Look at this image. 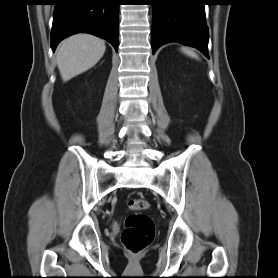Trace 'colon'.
Returning <instances> with one entry per match:
<instances>
[{
	"label": "colon",
	"instance_id": "obj_1",
	"mask_svg": "<svg viewBox=\"0 0 278 278\" xmlns=\"http://www.w3.org/2000/svg\"><path fill=\"white\" fill-rule=\"evenodd\" d=\"M128 207L135 213L126 218L121 240L126 250L130 254L136 255L152 243L155 236V225L148 215L138 212L148 208V202L145 199H131Z\"/></svg>",
	"mask_w": 278,
	"mask_h": 278
}]
</instances>
